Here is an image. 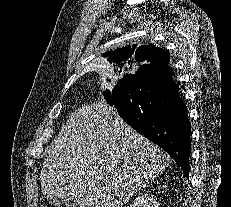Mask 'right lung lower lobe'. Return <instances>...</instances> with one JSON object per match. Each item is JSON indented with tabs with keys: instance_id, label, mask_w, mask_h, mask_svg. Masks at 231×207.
I'll return each mask as SVG.
<instances>
[{
	"instance_id": "1",
	"label": "right lung lower lobe",
	"mask_w": 231,
	"mask_h": 207,
	"mask_svg": "<svg viewBox=\"0 0 231 207\" xmlns=\"http://www.w3.org/2000/svg\"><path fill=\"white\" fill-rule=\"evenodd\" d=\"M104 97L138 133L166 151L189 174L190 122L172 70L140 67L122 78Z\"/></svg>"
}]
</instances>
